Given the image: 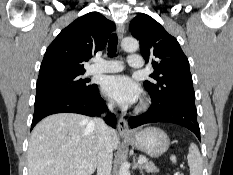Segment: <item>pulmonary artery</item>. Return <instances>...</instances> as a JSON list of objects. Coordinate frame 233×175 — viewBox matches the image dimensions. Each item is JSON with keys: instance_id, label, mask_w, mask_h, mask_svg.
Instances as JSON below:
<instances>
[{"instance_id": "e3ab8cb5", "label": "pulmonary artery", "mask_w": 233, "mask_h": 175, "mask_svg": "<svg viewBox=\"0 0 233 175\" xmlns=\"http://www.w3.org/2000/svg\"><path fill=\"white\" fill-rule=\"evenodd\" d=\"M128 65L133 69H139L143 67L142 57L138 54L130 55L128 58ZM123 64L118 60H104L97 59L96 63L93 64L89 70V74H99V73H111L121 71Z\"/></svg>"}]
</instances>
